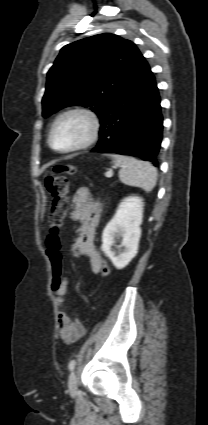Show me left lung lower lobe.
<instances>
[{
	"mask_svg": "<svg viewBox=\"0 0 208 425\" xmlns=\"http://www.w3.org/2000/svg\"><path fill=\"white\" fill-rule=\"evenodd\" d=\"M100 124L93 151L138 156L158 167L163 118L155 77L146 61L105 106Z\"/></svg>",
	"mask_w": 208,
	"mask_h": 425,
	"instance_id": "left-lung-lower-lobe-1",
	"label": "left lung lower lobe"
}]
</instances>
